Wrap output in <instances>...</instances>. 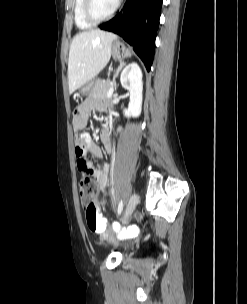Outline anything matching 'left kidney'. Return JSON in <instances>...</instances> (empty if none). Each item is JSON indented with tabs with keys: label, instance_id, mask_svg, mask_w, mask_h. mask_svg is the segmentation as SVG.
Returning a JSON list of instances; mask_svg holds the SVG:
<instances>
[{
	"label": "left kidney",
	"instance_id": "1",
	"mask_svg": "<svg viewBox=\"0 0 247 304\" xmlns=\"http://www.w3.org/2000/svg\"><path fill=\"white\" fill-rule=\"evenodd\" d=\"M120 82L130 93V102L128 108L123 110L124 115L138 117L141 114L143 99L142 71L138 63L132 62L123 69Z\"/></svg>",
	"mask_w": 247,
	"mask_h": 304
}]
</instances>
